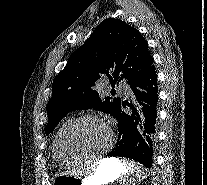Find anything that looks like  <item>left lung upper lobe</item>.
<instances>
[{"instance_id":"1","label":"left lung upper lobe","mask_w":207,"mask_h":185,"mask_svg":"<svg viewBox=\"0 0 207 185\" xmlns=\"http://www.w3.org/2000/svg\"><path fill=\"white\" fill-rule=\"evenodd\" d=\"M152 65L153 58L138 30L122 20L105 19L54 78L52 97L47 105L46 135L73 110L94 108L115 117L121 108V99H101L97 82L109 77L113 88L123 79L130 85ZM115 94L112 89L111 95Z\"/></svg>"}]
</instances>
